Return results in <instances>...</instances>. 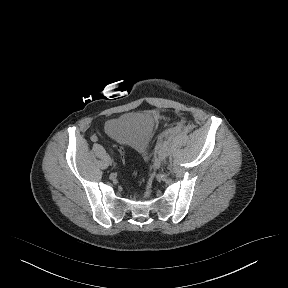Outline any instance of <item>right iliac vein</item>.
<instances>
[{
  "mask_svg": "<svg viewBox=\"0 0 288 288\" xmlns=\"http://www.w3.org/2000/svg\"><path fill=\"white\" fill-rule=\"evenodd\" d=\"M109 164H112V159L110 156L107 157Z\"/></svg>",
  "mask_w": 288,
  "mask_h": 288,
  "instance_id": "right-iliac-vein-1",
  "label": "right iliac vein"
}]
</instances>
